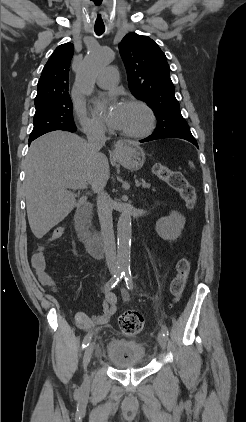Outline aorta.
I'll use <instances>...</instances> for the list:
<instances>
[{
  "mask_svg": "<svg viewBox=\"0 0 246 422\" xmlns=\"http://www.w3.org/2000/svg\"><path fill=\"white\" fill-rule=\"evenodd\" d=\"M114 53L109 48L98 47L92 49L85 56L77 73L76 82L80 91L90 95L93 91L99 71L112 61ZM131 248V214L124 210L117 224V261L121 269L130 266Z\"/></svg>",
  "mask_w": 246,
  "mask_h": 422,
  "instance_id": "1",
  "label": "aorta"
}]
</instances>
